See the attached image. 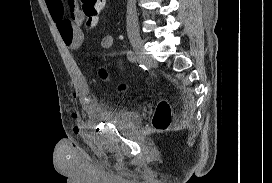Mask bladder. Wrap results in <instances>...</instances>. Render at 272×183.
I'll list each match as a JSON object with an SVG mask.
<instances>
[{
    "instance_id": "obj_1",
    "label": "bladder",
    "mask_w": 272,
    "mask_h": 183,
    "mask_svg": "<svg viewBox=\"0 0 272 183\" xmlns=\"http://www.w3.org/2000/svg\"><path fill=\"white\" fill-rule=\"evenodd\" d=\"M102 115L107 121L122 127L134 125L138 117L137 113L126 110H121L118 112H104Z\"/></svg>"
}]
</instances>
